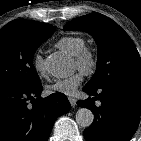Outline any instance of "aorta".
Segmentation results:
<instances>
[{
    "label": "aorta",
    "mask_w": 141,
    "mask_h": 141,
    "mask_svg": "<svg viewBox=\"0 0 141 141\" xmlns=\"http://www.w3.org/2000/svg\"><path fill=\"white\" fill-rule=\"evenodd\" d=\"M45 68L51 75L57 78L67 77L72 71L70 61L66 57L58 54H53L46 58ZM75 118L78 125L89 127L94 120V115L91 110L80 108L76 112Z\"/></svg>",
    "instance_id": "1"
}]
</instances>
